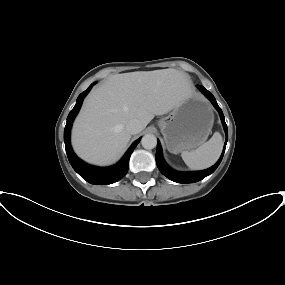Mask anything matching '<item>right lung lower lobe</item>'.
<instances>
[{
	"instance_id": "1",
	"label": "right lung lower lobe",
	"mask_w": 285,
	"mask_h": 285,
	"mask_svg": "<svg viewBox=\"0 0 285 285\" xmlns=\"http://www.w3.org/2000/svg\"><path fill=\"white\" fill-rule=\"evenodd\" d=\"M94 84L95 83L91 84L87 90H85L83 93H81L78 96L74 108L70 111L67 117V122L64 130V142L69 162L74 168V170L81 177H83L87 182L91 184L108 185L117 182L126 175L129 168L130 156L141 138L136 140L129 148V150L126 152L124 157L116 165L112 167L108 168L93 167L86 164L75 155L70 145V131L72 127V122L82 105L84 97L88 94V92L90 91V89Z\"/></svg>"
}]
</instances>
